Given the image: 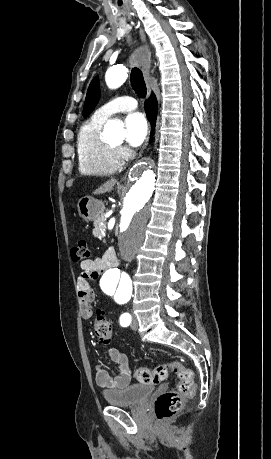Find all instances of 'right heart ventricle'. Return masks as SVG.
Masks as SVG:
<instances>
[{
	"mask_svg": "<svg viewBox=\"0 0 271 459\" xmlns=\"http://www.w3.org/2000/svg\"><path fill=\"white\" fill-rule=\"evenodd\" d=\"M103 123L93 115L79 129L76 141L77 166L84 176L109 175L121 166L116 147L101 137Z\"/></svg>",
	"mask_w": 271,
	"mask_h": 459,
	"instance_id": "right-heart-ventricle-1",
	"label": "right heart ventricle"
}]
</instances>
